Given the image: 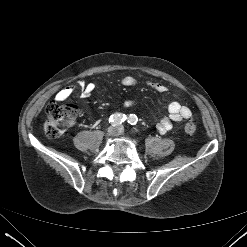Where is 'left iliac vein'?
<instances>
[{
    "label": "left iliac vein",
    "instance_id": "obj_1",
    "mask_svg": "<svg viewBox=\"0 0 247 247\" xmlns=\"http://www.w3.org/2000/svg\"><path fill=\"white\" fill-rule=\"evenodd\" d=\"M118 133H119L120 135H122V134L124 133V130H123L122 127H120V128L118 129Z\"/></svg>",
    "mask_w": 247,
    "mask_h": 247
}]
</instances>
